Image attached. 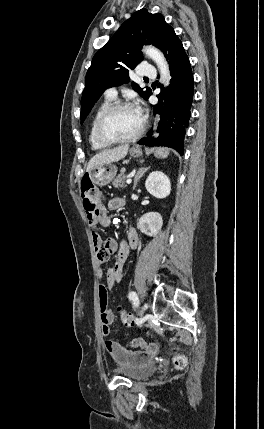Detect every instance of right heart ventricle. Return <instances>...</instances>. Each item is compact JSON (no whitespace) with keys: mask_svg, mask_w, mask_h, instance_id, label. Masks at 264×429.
I'll use <instances>...</instances> for the list:
<instances>
[{"mask_svg":"<svg viewBox=\"0 0 264 429\" xmlns=\"http://www.w3.org/2000/svg\"><path fill=\"white\" fill-rule=\"evenodd\" d=\"M111 98H106L95 110L94 114L92 115L91 121H90V127H89V142L94 150H102L107 147V145L102 144L98 141L95 135V126L98 118L100 115L112 104Z\"/></svg>","mask_w":264,"mask_h":429,"instance_id":"e07e8e85","label":"right heart ventricle"}]
</instances>
